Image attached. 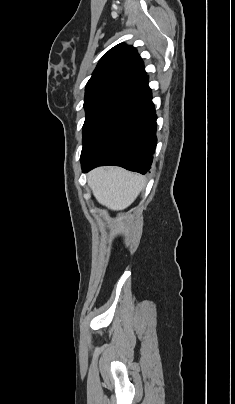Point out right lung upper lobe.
Here are the masks:
<instances>
[{
  "instance_id": "cb5924a9",
  "label": "right lung upper lobe",
  "mask_w": 235,
  "mask_h": 404,
  "mask_svg": "<svg viewBox=\"0 0 235 404\" xmlns=\"http://www.w3.org/2000/svg\"><path fill=\"white\" fill-rule=\"evenodd\" d=\"M144 76V64L136 49L121 43L101 58L86 88L110 83L130 85Z\"/></svg>"
}]
</instances>
